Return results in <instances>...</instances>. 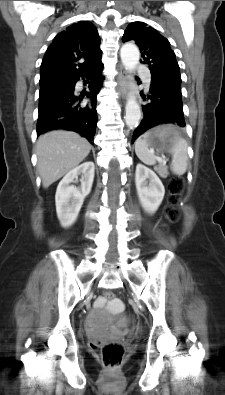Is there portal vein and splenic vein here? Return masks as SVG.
I'll list each match as a JSON object with an SVG mask.
<instances>
[{
  "instance_id": "obj_1",
  "label": "portal vein and splenic vein",
  "mask_w": 225,
  "mask_h": 395,
  "mask_svg": "<svg viewBox=\"0 0 225 395\" xmlns=\"http://www.w3.org/2000/svg\"><path fill=\"white\" fill-rule=\"evenodd\" d=\"M158 161H159V163H160L161 165H163V166H165L166 163H167V161H166L164 158H162V157H159V158H158Z\"/></svg>"
}]
</instances>
